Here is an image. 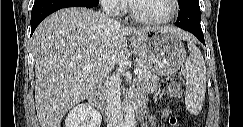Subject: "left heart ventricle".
<instances>
[{
  "label": "left heart ventricle",
  "instance_id": "1",
  "mask_svg": "<svg viewBox=\"0 0 243 127\" xmlns=\"http://www.w3.org/2000/svg\"><path fill=\"white\" fill-rule=\"evenodd\" d=\"M134 5L137 14L145 18H162L171 10L168 0H136Z\"/></svg>",
  "mask_w": 243,
  "mask_h": 127
}]
</instances>
